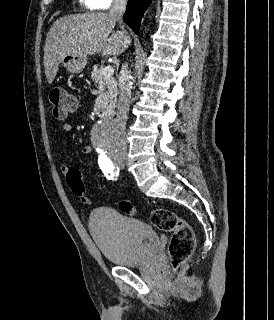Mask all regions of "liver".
Instances as JSON below:
<instances>
[{
    "label": "liver",
    "instance_id": "obj_1",
    "mask_svg": "<svg viewBox=\"0 0 274 320\" xmlns=\"http://www.w3.org/2000/svg\"><path fill=\"white\" fill-rule=\"evenodd\" d=\"M116 20L105 12H88L64 16L52 24L44 44V68L48 84H52L64 56H119L125 40L113 32ZM111 34V36H110Z\"/></svg>",
    "mask_w": 274,
    "mask_h": 320
}]
</instances>
